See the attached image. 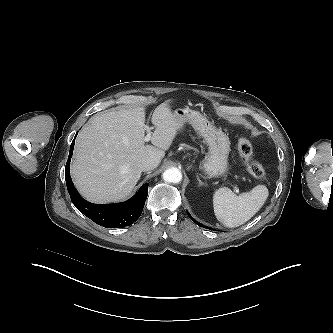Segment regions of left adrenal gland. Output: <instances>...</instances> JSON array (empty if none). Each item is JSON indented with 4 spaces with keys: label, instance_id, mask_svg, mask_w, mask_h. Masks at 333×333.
I'll use <instances>...</instances> for the list:
<instances>
[{
    "label": "left adrenal gland",
    "instance_id": "obj_1",
    "mask_svg": "<svg viewBox=\"0 0 333 333\" xmlns=\"http://www.w3.org/2000/svg\"><path fill=\"white\" fill-rule=\"evenodd\" d=\"M197 180H198V182H199V186H203V185H205V184L200 180V178H199L198 175H197Z\"/></svg>",
    "mask_w": 333,
    "mask_h": 333
}]
</instances>
